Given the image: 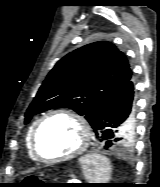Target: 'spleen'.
Masks as SVG:
<instances>
[{
	"instance_id": "spleen-1",
	"label": "spleen",
	"mask_w": 160,
	"mask_h": 187,
	"mask_svg": "<svg viewBox=\"0 0 160 187\" xmlns=\"http://www.w3.org/2000/svg\"><path fill=\"white\" fill-rule=\"evenodd\" d=\"M82 172L90 183H108L111 176V164L101 154H86L79 159Z\"/></svg>"
}]
</instances>
